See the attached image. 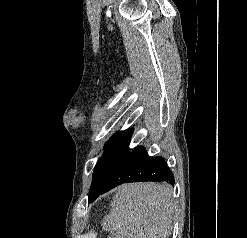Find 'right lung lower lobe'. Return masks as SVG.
I'll return each mask as SVG.
<instances>
[{"label": "right lung lower lobe", "mask_w": 247, "mask_h": 238, "mask_svg": "<svg viewBox=\"0 0 247 238\" xmlns=\"http://www.w3.org/2000/svg\"><path fill=\"white\" fill-rule=\"evenodd\" d=\"M138 181H166L173 184L174 178L163 157L150 158L146 150L140 146L131 153H126L100 194L122 183Z\"/></svg>", "instance_id": "right-lung-lower-lobe-1"}]
</instances>
